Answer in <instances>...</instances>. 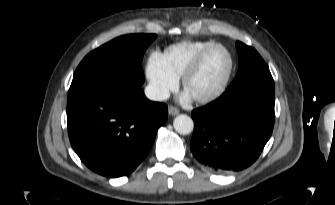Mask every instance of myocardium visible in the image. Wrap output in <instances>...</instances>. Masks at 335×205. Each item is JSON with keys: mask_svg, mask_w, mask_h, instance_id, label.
<instances>
[{"mask_svg": "<svg viewBox=\"0 0 335 205\" xmlns=\"http://www.w3.org/2000/svg\"><path fill=\"white\" fill-rule=\"evenodd\" d=\"M216 48H221L227 53L229 57V68L221 83L212 92L204 96L193 97V99L198 103L205 104L218 99L226 90L235 70V59L231 50L221 43H213L210 46L201 50L193 59V61L189 64V66L185 69L182 74L183 88L186 90L189 79L199 70L207 54Z\"/></svg>", "mask_w": 335, "mask_h": 205, "instance_id": "1", "label": "myocardium"}]
</instances>
